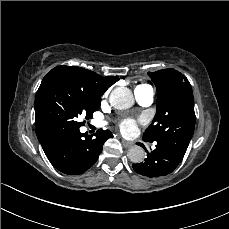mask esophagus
Listing matches in <instances>:
<instances>
[{"label": "esophagus", "mask_w": 229, "mask_h": 229, "mask_svg": "<svg viewBox=\"0 0 229 229\" xmlns=\"http://www.w3.org/2000/svg\"><path fill=\"white\" fill-rule=\"evenodd\" d=\"M121 141H122V144H123V146H124L125 148H130V147L133 146V142H131V141H127V140H125V139H122Z\"/></svg>", "instance_id": "1"}]
</instances>
